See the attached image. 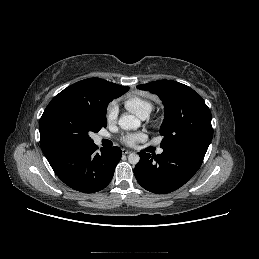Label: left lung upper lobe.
<instances>
[{
	"mask_svg": "<svg viewBox=\"0 0 259 259\" xmlns=\"http://www.w3.org/2000/svg\"><path fill=\"white\" fill-rule=\"evenodd\" d=\"M137 88L157 94L163 102L162 149H192L206 153L213 137L211 113L197 92L170 80L153 81Z\"/></svg>",
	"mask_w": 259,
	"mask_h": 259,
	"instance_id": "5c2ea615",
	"label": "left lung upper lobe"
}]
</instances>
